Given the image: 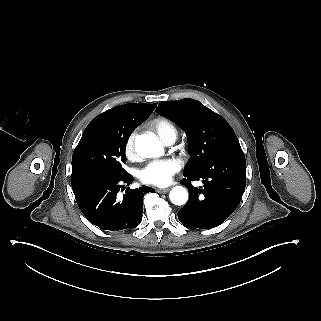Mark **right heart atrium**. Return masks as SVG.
<instances>
[{
	"instance_id": "obj_1",
	"label": "right heart atrium",
	"mask_w": 321,
	"mask_h": 321,
	"mask_svg": "<svg viewBox=\"0 0 321 321\" xmlns=\"http://www.w3.org/2000/svg\"><path fill=\"white\" fill-rule=\"evenodd\" d=\"M137 131L132 130L126 137L124 142V153L130 160H135L141 156L140 151L136 146Z\"/></svg>"
}]
</instances>
